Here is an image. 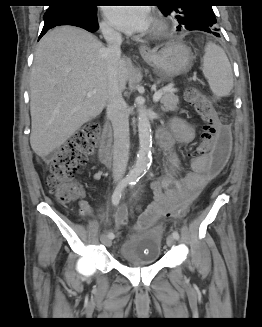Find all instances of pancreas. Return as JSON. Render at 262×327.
Returning a JSON list of instances; mask_svg holds the SVG:
<instances>
[{
    "label": "pancreas",
    "mask_w": 262,
    "mask_h": 327,
    "mask_svg": "<svg viewBox=\"0 0 262 327\" xmlns=\"http://www.w3.org/2000/svg\"><path fill=\"white\" fill-rule=\"evenodd\" d=\"M162 110L165 112L177 110L179 98L174 91H164L161 97Z\"/></svg>",
    "instance_id": "pancreas-1"
}]
</instances>
